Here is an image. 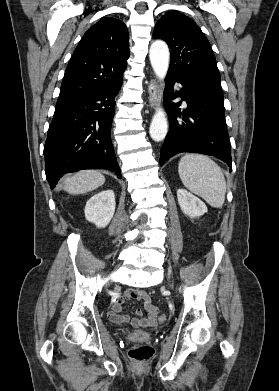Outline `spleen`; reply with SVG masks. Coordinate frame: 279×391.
<instances>
[{
    "instance_id": "spleen-1",
    "label": "spleen",
    "mask_w": 279,
    "mask_h": 391,
    "mask_svg": "<svg viewBox=\"0 0 279 391\" xmlns=\"http://www.w3.org/2000/svg\"><path fill=\"white\" fill-rule=\"evenodd\" d=\"M178 172L187 189L214 208L223 206L226 181L221 168L211 158L202 154H186L179 162Z\"/></svg>"
}]
</instances>
